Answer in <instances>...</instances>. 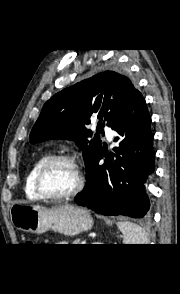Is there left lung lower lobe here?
<instances>
[{
	"instance_id": "left-lung-lower-lobe-1",
	"label": "left lung lower lobe",
	"mask_w": 180,
	"mask_h": 294,
	"mask_svg": "<svg viewBox=\"0 0 180 294\" xmlns=\"http://www.w3.org/2000/svg\"><path fill=\"white\" fill-rule=\"evenodd\" d=\"M110 127L118 133L117 144L109 154L101 147L75 202L103 215L143 218L150 206L144 183L155 169V153L151 117L140 92Z\"/></svg>"
}]
</instances>
